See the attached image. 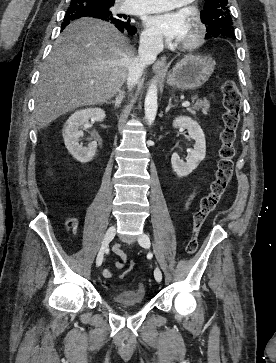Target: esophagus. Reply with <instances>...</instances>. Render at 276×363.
<instances>
[{"mask_svg": "<svg viewBox=\"0 0 276 363\" xmlns=\"http://www.w3.org/2000/svg\"><path fill=\"white\" fill-rule=\"evenodd\" d=\"M166 66V56H161L153 65V70L156 73H163Z\"/></svg>", "mask_w": 276, "mask_h": 363, "instance_id": "1", "label": "esophagus"}]
</instances>
